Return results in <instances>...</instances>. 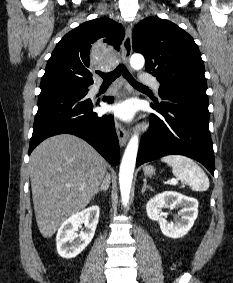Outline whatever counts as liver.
<instances>
[{
	"instance_id": "obj_1",
	"label": "liver",
	"mask_w": 233,
	"mask_h": 283,
	"mask_svg": "<svg viewBox=\"0 0 233 283\" xmlns=\"http://www.w3.org/2000/svg\"><path fill=\"white\" fill-rule=\"evenodd\" d=\"M106 166L94 148L71 134L50 137L34 149L29 162L32 198L44 238L89 204Z\"/></svg>"
}]
</instances>
